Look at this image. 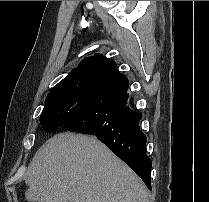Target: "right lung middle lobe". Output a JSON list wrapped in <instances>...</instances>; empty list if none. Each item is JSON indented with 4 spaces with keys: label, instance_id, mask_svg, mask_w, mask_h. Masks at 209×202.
<instances>
[{
    "label": "right lung middle lobe",
    "instance_id": "1",
    "mask_svg": "<svg viewBox=\"0 0 209 202\" xmlns=\"http://www.w3.org/2000/svg\"><path fill=\"white\" fill-rule=\"evenodd\" d=\"M90 79L88 74L65 78L49 92L40 116L45 131L54 132L62 128L65 120L77 111L81 90Z\"/></svg>",
    "mask_w": 209,
    "mask_h": 202
}]
</instances>
